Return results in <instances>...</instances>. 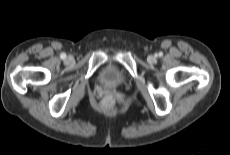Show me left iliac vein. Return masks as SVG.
<instances>
[{
    "label": "left iliac vein",
    "mask_w": 230,
    "mask_h": 155,
    "mask_svg": "<svg viewBox=\"0 0 230 155\" xmlns=\"http://www.w3.org/2000/svg\"><path fill=\"white\" fill-rule=\"evenodd\" d=\"M149 63H155L156 62V57L154 55H149L147 58Z\"/></svg>",
    "instance_id": "left-iliac-vein-1"
}]
</instances>
